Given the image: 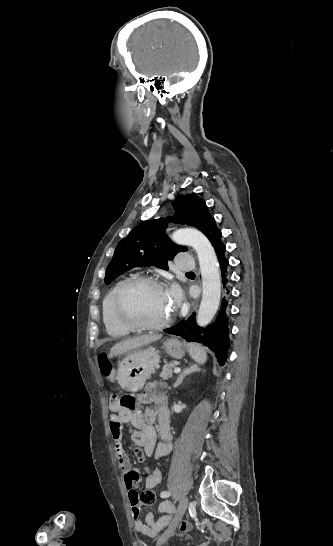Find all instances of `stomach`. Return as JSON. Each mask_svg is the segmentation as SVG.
Instances as JSON below:
<instances>
[{
  "mask_svg": "<svg viewBox=\"0 0 333 546\" xmlns=\"http://www.w3.org/2000/svg\"><path fill=\"white\" fill-rule=\"evenodd\" d=\"M163 347L168 355L181 359L188 351L186 344L176 338L167 339ZM160 362L158 352L150 347L130 352L119 362L117 380L121 387L129 392L141 390L148 378L153 374Z\"/></svg>",
  "mask_w": 333,
  "mask_h": 546,
  "instance_id": "1",
  "label": "stomach"
}]
</instances>
